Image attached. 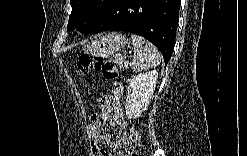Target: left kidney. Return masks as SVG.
Wrapping results in <instances>:
<instances>
[{"label": "left kidney", "mask_w": 247, "mask_h": 156, "mask_svg": "<svg viewBox=\"0 0 247 156\" xmlns=\"http://www.w3.org/2000/svg\"><path fill=\"white\" fill-rule=\"evenodd\" d=\"M158 72L156 70L134 75L128 85L125 112L129 119H136L147 109L153 96Z\"/></svg>", "instance_id": "5707ae66"}]
</instances>
